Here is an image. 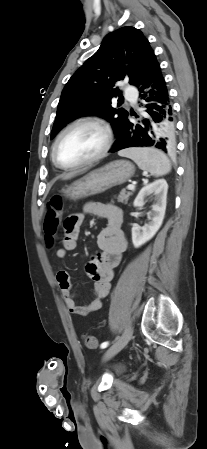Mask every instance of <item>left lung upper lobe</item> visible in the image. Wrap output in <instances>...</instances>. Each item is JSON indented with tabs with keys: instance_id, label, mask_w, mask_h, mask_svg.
I'll list each match as a JSON object with an SVG mask.
<instances>
[{
	"instance_id": "obj_1",
	"label": "left lung upper lobe",
	"mask_w": 207,
	"mask_h": 449,
	"mask_svg": "<svg viewBox=\"0 0 207 449\" xmlns=\"http://www.w3.org/2000/svg\"><path fill=\"white\" fill-rule=\"evenodd\" d=\"M156 61L148 39L140 30L127 26L106 35L98 51L66 83L51 138L71 120L85 115L108 120L117 137L128 112L111 106L112 98L121 96L116 83L128 77L130 84L141 85Z\"/></svg>"
}]
</instances>
